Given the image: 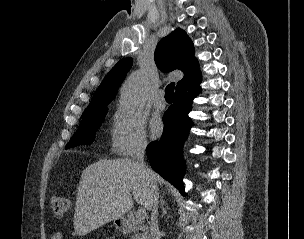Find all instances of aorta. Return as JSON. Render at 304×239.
<instances>
[{
	"instance_id": "aorta-1",
	"label": "aorta",
	"mask_w": 304,
	"mask_h": 239,
	"mask_svg": "<svg viewBox=\"0 0 304 239\" xmlns=\"http://www.w3.org/2000/svg\"><path fill=\"white\" fill-rule=\"evenodd\" d=\"M146 99V80L142 74L131 76L121 90V102L124 106L141 110Z\"/></svg>"
}]
</instances>
